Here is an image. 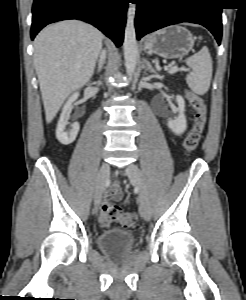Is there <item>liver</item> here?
<instances>
[{
  "instance_id": "6515ba94",
  "label": "liver",
  "mask_w": 246,
  "mask_h": 300,
  "mask_svg": "<svg viewBox=\"0 0 246 300\" xmlns=\"http://www.w3.org/2000/svg\"><path fill=\"white\" fill-rule=\"evenodd\" d=\"M103 34L77 20L47 26L34 40V66L47 123L65 99L92 77L102 48Z\"/></svg>"
}]
</instances>
